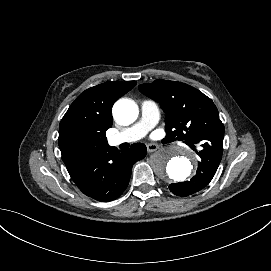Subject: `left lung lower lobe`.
<instances>
[{"mask_svg": "<svg viewBox=\"0 0 271 271\" xmlns=\"http://www.w3.org/2000/svg\"><path fill=\"white\" fill-rule=\"evenodd\" d=\"M186 143L191 146L193 145L191 142ZM198 155L201 158V162H198L196 175L190 181L170 184L169 189L173 194L182 197L191 195L206 187L212 180L222 159V152L203 147L198 152Z\"/></svg>", "mask_w": 271, "mask_h": 271, "instance_id": "left-lung-lower-lobe-1", "label": "left lung lower lobe"}]
</instances>
